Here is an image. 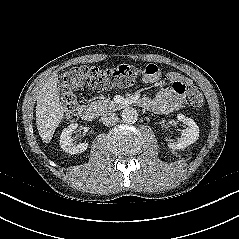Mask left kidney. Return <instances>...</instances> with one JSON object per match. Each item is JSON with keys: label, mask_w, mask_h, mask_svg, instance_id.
<instances>
[{"label": "left kidney", "mask_w": 239, "mask_h": 239, "mask_svg": "<svg viewBox=\"0 0 239 239\" xmlns=\"http://www.w3.org/2000/svg\"><path fill=\"white\" fill-rule=\"evenodd\" d=\"M177 119L187 125V128L181 131V137L176 142H168L170 149H184L196 142L199 137V127L191 119L183 114H178Z\"/></svg>", "instance_id": "left-kidney-1"}]
</instances>
